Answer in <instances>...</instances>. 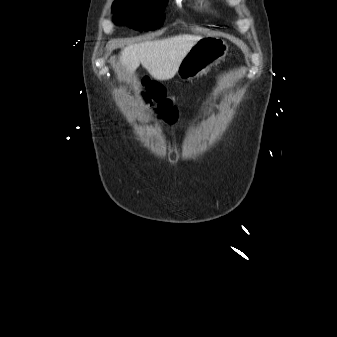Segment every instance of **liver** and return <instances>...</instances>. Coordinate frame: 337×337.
I'll use <instances>...</instances> for the list:
<instances>
[{"label":"liver","instance_id":"6515ba94","mask_svg":"<svg viewBox=\"0 0 337 337\" xmlns=\"http://www.w3.org/2000/svg\"><path fill=\"white\" fill-rule=\"evenodd\" d=\"M201 39L197 35H177L165 39L130 44L121 51L120 61L132 74L141 64L157 80L173 78L178 67Z\"/></svg>","mask_w":337,"mask_h":337}]
</instances>
